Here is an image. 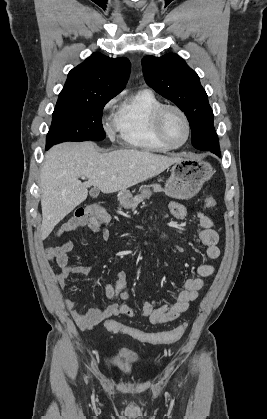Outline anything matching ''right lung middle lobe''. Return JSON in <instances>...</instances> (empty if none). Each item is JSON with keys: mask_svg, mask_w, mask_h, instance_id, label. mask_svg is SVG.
I'll use <instances>...</instances> for the list:
<instances>
[{"mask_svg": "<svg viewBox=\"0 0 267 419\" xmlns=\"http://www.w3.org/2000/svg\"><path fill=\"white\" fill-rule=\"evenodd\" d=\"M114 96L59 97L46 145L64 141L103 140L102 111Z\"/></svg>", "mask_w": 267, "mask_h": 419, "instance_id": "dd1d6c3e", "label": "right lung middle lobe"}]
</instances>
